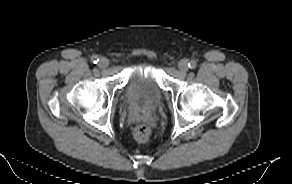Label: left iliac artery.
<instances>
[{"label":"left iliac artery","instance_id":"left-iliac-artery-1","mask_svg":"<svg viewBox=\"0 0 292 184\" xmlns=\"http://www.w3.org/2000/svg\"><path fill=\"white\" fill-rule=\"evenodd\" d=\"M188 66L189 68L194 69L197 66V63L195 61H190Z\"/></svg>","mask_w":292,"mask_h":184}]
</instances>
